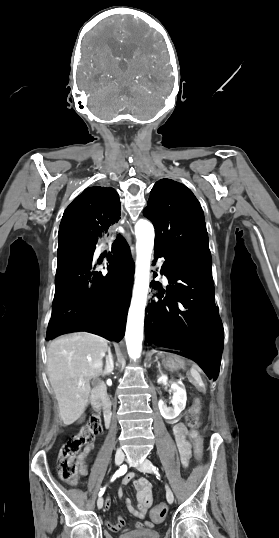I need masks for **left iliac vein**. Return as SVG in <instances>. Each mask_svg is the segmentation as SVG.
Here are the masks:
<instances>
[{
	"label": "left iliac vein",
	"instance_id": "4c4485c4",
	"mask_svg": "<svg viewBox=\"0 0 279 538\" xmlns=\"http://www.w3.org/2000/svg\"><path fill=\"white\" fill-rule=\"evenodd\" d=\"M152 463L148 459H145L141 465L138 466V470L144 473H152ZM166 498L169 504H172L174 501V495L172 490L167 486L166 487Z\"/></svg>",
	"mask_w": 279,
	"mask_h": 538
}]
</instances>
